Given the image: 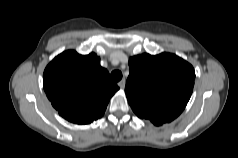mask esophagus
<instances>
[{"instance_id":"esophagus-1","label":"esophagus","mask_w":238,"mask_h":158,"mask_svg":"<svg viewBox=\"0 0 238 158\" xmlns=\"http://www.w3.org/2000/svg\"><path fill=\"white\" fill-rule=\"evenodd\" d=\"M118 86L121 90H123L125 88V79H122L121 81H119Z\"/></svg>"}]
</instances>
